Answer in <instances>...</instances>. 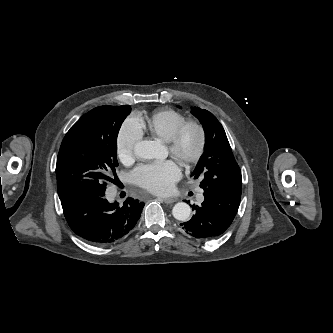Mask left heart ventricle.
<instances>
[{"label": "left heart ventricle", "instance_id": "1", "mask_svg": "<svg viewBox=\"0 0 333 333\" xmlns=\"http://www.w3.org/2000/svg\"><path fill=\"white\" fill-rule=\"evenodd\" d=\"M196 143H197L196 133L192 130L188 131L183 139L184 152L191 153L195 149Z\"/></svg>", "mask_w": 333, "mask_h": 333}]
</instances>
